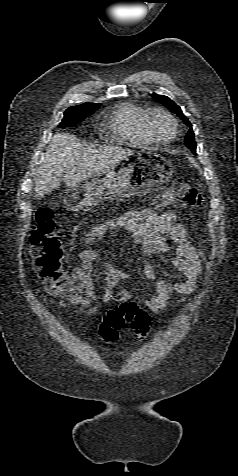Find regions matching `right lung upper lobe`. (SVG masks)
Returning a JSON list of instances; mask_svg holds the SVG:
<instances>
[{"instance_id":"obj_1","label":"right lung upper lobe","mask_w":238,"mask_h":476,"mask_svg":"<svg viewBox=\"0 0 238 476\" xmlns=\"http://www.w3.org/2000/svg\"><path fill=\"white\" fill-rule=\"evenodd\" d=\"M78 107H89V106H94V107H97V106H100V104H94V103H83L81 105H77Z\"/></svg>"}]
</instances>
